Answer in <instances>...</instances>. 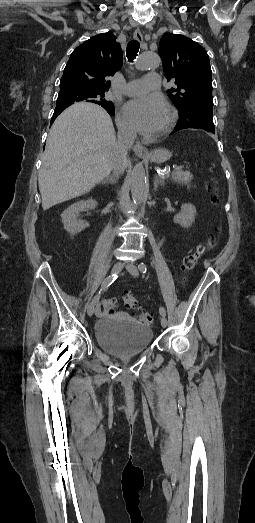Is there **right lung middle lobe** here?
Wrapping results in <instances>:
<instances>
[{
	"label": "right lung middle lobe",
	"instance_id": "dd1d6c3e",
	"mask_svg": "<svg viewBox=\"0 0 255 523\" xmlns=\"http://www.w3.org/2000/svg\"><path fill=\"white\" fill-rule=\"evenodd\" d=\"M105 95L103 92L87 91L80 89H65L60 90L57 98V103L60 102H78L86 100L87 102L103 101Z\"/></svg>",
	"mask_w": 255,
	"mask_h": 523
}]
</instances>
